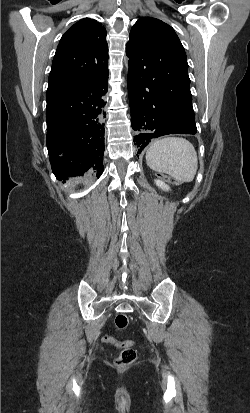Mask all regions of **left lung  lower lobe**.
<instances>
[{"label":"left lung lower lobe","mask_w":250,"mask_h":413,"mask_svg":"<svg viewBox=\"0 0 250 413\" xmlns=\"http://www.w3.org/2000/svg\"><path fill=\"white\" fill-rule=\"evenodd\" d=\"M152 40L127 50L128 95L134 143L140 153L151 139L168 134H196L190 79L151 67Z\"/></svg>","instance_id":"left-lung-lower-lobe-1"}]
</instances>
